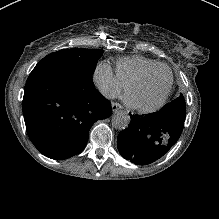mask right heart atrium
Here are the masks:
<instances>
[{
	"label": "right heart atrium",
	"instance_id": "obj_1",
	"mask_svg": "<svg viewBox=\"0 0 219 219\" xmlns=\"http://www.w3.org/2000/svg\"><path fill=\"white\" fill-rule=\"evenodd\" d=\"M93 79L97 87L106 96L113 98L124 91V86L112 72L109 65L99 63L93 70Z\"/></svg>",
	"mask_w": 219,
	"mask_h": 219
}]
</instances>
